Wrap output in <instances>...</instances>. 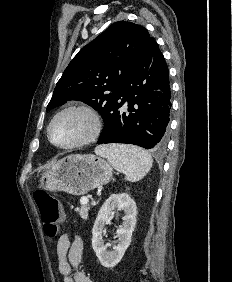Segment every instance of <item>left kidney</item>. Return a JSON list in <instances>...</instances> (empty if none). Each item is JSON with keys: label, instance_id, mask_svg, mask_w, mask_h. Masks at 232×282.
Returning <instances> with one entry per match:
<instances>
[{"label": "left kidney", "instance_id": "5707ae66", "mask_svg": "<svg viewBox=\"0 0 232 282\" xmlns=\"http://www.w3.org/2000/svg\"><path fill=\"white\" fill-rule=\"evenodd\" d=\"M122 210L125 214L122 225L117 229V245L112 251H107L102 236L109 216L115 210ZM136 203L127 194H112L100 208L92 228V248L101 265L107 268L116 266L122 259L131 243L132 232L136 225Z\"/></svg>", "mask_w": 232, "mask_h": 282}]
</instances>
